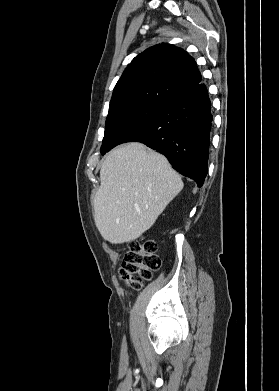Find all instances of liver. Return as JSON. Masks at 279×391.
<instances>
[{"label":"liver","mask_w":279,"mask_h":391,"mask_svg":"<svg viewBox=\"0 0 279 391\" xmlns=\"http://www.w3.org/2000/svg\"><path fill=\"white\" fill-rule=\"evenodd\" d=\"M100 181L94 221L101 236L113 244L134 241L150 229L184 186L163 155L138 142L109 153Z\"/></svg>","instance_id":"liver-1"}]
</instances>
